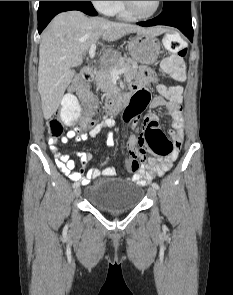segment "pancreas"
I'll return each instance as SVG.
<instances>
[{"instance_id": "cf45deb5", "label": "pancreas", "mask_w": 233, "mask_h": 295, "mask_svg": "<svg viewBox=\"0 0 233 295\" xmlns=\"http://www.w3.org/2000/svg\"><path fill=\"white\" fill-rule=\"evenodd\" d=\"M126 68L124 76L128 79L133 78L138 69V64L135 60L131 58H119L115 60L112 64H109L99 70L96 74V86L97 89H100L102 92L107 95L113 94L116 92V87L113 84V76L111 74L112 70Z\"/></svg>"}]
</instances>
